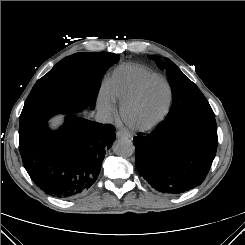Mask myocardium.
Listing matches in <instances>:
<instances>
[{"instance_id": "myocardium-1", "label": "myocardium", "mask_w": 245, "mask_h": 245, "mask_svg": "<svg viewBox=\"0 0 245 245\" xmlns=\"http://www.w3.org/2000/svg\"><path fill=\"white\" fill-rule=\"evenodd\" d=\"M153 83H161L165 86L167 90V98H166V102H165L163 109L160 111V113L156 117H154L152 120L148 122L139 123V122L132 121L128 116L129 109L140 101L145 90ZM171 100H172V91H171L170 85L168 84L166 80H164L163 78L159 76L148 79L140 85V87L136 90V92L131 97H129L127 100H125L121 104V107H120L121 117L124 123L132 130L140 131V132L151 130L154 127H156L165 118V116L167 115L169 111Z\"/></svg>"}]
</instances>
